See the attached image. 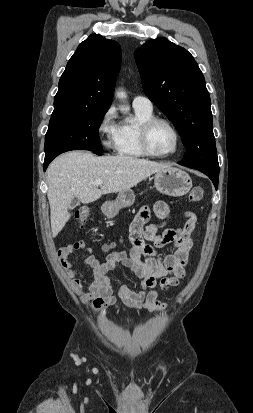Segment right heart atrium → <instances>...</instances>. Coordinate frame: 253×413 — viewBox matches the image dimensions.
I'll return each mask as SVG.
<instances>
[{"mask_svg": "<svg viewBox=\"0 0 253 413\" xmlns=\"http://www.w3.org/2000/svg\"><path fill=\"white\" fill-rule=\"evenodd\" d=\"M97 132L102 145L107 150H118L121 140V124L117 122V112L114 106L108 107L102 114Z\"/></svg>", "mask_w": 253, "mask_h": 413, "instance_id": "1", "label": "right heart atrium"}]
</instances>
